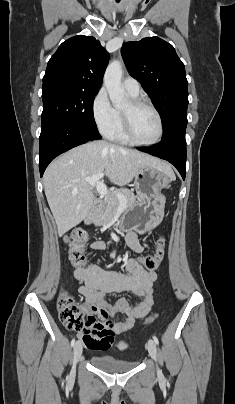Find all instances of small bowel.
<instances>
[{
    "instance_id": "small-bowel-1",
    "label": "small bowel",
    "mask_w": 235,
    "mask_h": 404,
    "mask_svg": "<svg viewBox=\"0 0 235 404\" xmlns=\"http://www.w3.org/2000/svg\"><path fill=\"white\" fill-rule=\"evenodd\" d=\"M127 243L135 252L147 248V242H141L136 233L127 235ZM92 250H103L105 243L93 242ZM128 274H118L105 271L97 265L77 267L74 276L78 281V292L85 297L81 306L90 315H98L103 319L108 316L123 314L124 322L110 323L108 330L113 335L122 334L131 329L137 318L145 316L154 306V283L157 274L141 266L136 259H129L125 264ZM130 293L137 297V302L131 305L127 299L119 298L114 303L106 300L107 295ZM79 335L86 348L105 350L110 343L104 344L99 332H87L86 328L79 329Z\"/></svg>"
}]
</instances>
